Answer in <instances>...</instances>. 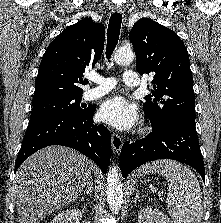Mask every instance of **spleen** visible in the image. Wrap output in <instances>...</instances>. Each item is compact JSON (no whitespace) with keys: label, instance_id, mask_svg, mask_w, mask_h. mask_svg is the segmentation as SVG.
I'll use <instances>...</instances> for the list:
<instances>
[{"label":"spleen","instance_id":"3e777b00","mask_svg":"<svg viewBox=\"0 0 221 223\" xmlns=\"http://www.w3.org/2000/svg\"><path fill=\"white\" fill-rule=\"evenodd\" d=\"M157 173L166 178L169 193L166 203L174 223H201L202 192L193 172L174 160H158L142 166L138 174Z\"/></svg>","mask_w":221,"mask_h":223}]
</instances>
